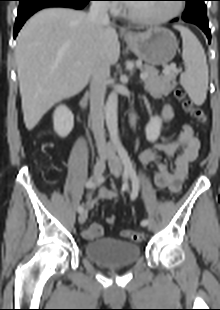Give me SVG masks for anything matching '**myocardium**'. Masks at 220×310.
I'll return each mask as SVG.
<instances>
[{
	"label": "myocardium",
	"mask_w": 220,
	"mask_h": 310,
	"mask_svg": "<svg viewBox=\"0 0 220 310\" xmlns=\"http://www.w3.org/2000/svg\"><path fill=\"white\" fill-rule=\"evenodd\" d=\"M181 12H182V6L178 2L174 4L173 10L170 14L160 17V18H148V17L135 14L131 12L128 9V7H125L123 11V13L131 20L138 22V23L146 24V25H160V24L167 23L175 19L176 17H178Z\"/></svg>",
	"instance_id": "1"
}]
</instances>
